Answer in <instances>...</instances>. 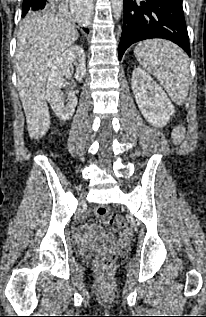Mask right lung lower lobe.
Returning a JSON list of instances; mask_svg holds the SVG:
<instances>
[{
	"label": "right lung lower lobe",
	"instance_id": "obj_1",
	"mask_svg": "<svg viewBox=\"0 0 206 317\" xmlns=\"http://www.w3.org/2000/svg\"><path fill=\"white\" fill-rule=\"evenodd\" d=\"M56 0H24L23 4L28 6V11L30 12H47L55 10ZM63 8V5L60 9ZM88 32V29H85Z\"/></svg>",
	"mask_w": 206,
	"mask_h": 317
}]
</instances>
